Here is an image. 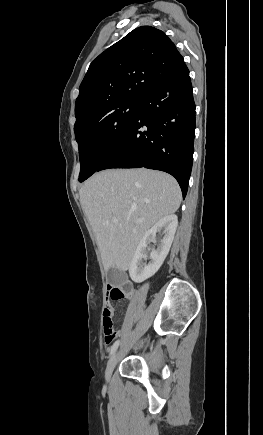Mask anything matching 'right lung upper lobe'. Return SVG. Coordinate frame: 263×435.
<instances>
[{
    "instance_id": "right-lung-upper-lobe-1",
    "label": "right lung upper lobe",
    "mask_w": 263,
    "mask_h": 435,
    "mask_svg": "<svg viewBox=\"0 0 263 435\" xmlns=\"http://www.w3.org/2000/svg\"><path fill=\"white\" fill-rule=\"evenodd\" d=\"M183 64L163 31L151 26L134 29L90 64L76 99L74 128L110 103L143 100Z\"/></svg>"
}]
</instances>
